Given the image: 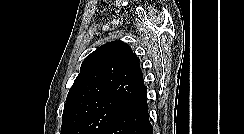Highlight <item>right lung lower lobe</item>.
<instances>
[{
	"label": "right lung lower lobe",
	"instance_id": "1",
	"mask_svg": "<svg viewBox=\"0 0 244 134\" xmlns=\"http://www.w3.org/2000/svg\"><path fill=\"white\" fill-rule=\"evenodd\" d=\"M103 134H153L146 94L133 100Z\"/></svg>",
	"mask_w": 244,
	"mask_h": 134
}]
</instances>
